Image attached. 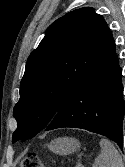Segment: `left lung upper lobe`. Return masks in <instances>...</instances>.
Instances as JSON below:
<instances>
[{
  "instance_id": "obj_1",
  "label": "left lung upper lobe",
  "mask_w": 125,
  "mask_h": 167,
  "mask_svg": "<svg viewBox=\"0 0 125 167\" xmlns=\"http://www.w3.org/2000/svg\"><path fill=\"white\" fill-rule=\"evenodd\" d=\"M109 31L91 7L71 11L47 28L27 60L13 111L18 124L13 143L47 127L90 72Z\"/></svg>"
}]
</instances>
